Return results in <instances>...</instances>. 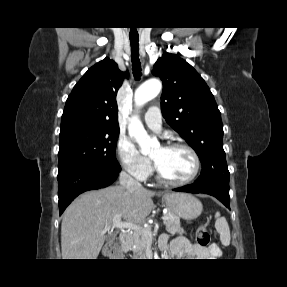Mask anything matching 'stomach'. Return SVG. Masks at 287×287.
Instances as JSON below:
<instances>
[{
  "label": "stomach",
  "mask_w": 287,
  "mask_h": 287,
  "mask_svg": "<svg viewBox=\"0 0 287 287\" xmlns=\"http://www.w3.org/2000/svg\"><path fill=\"white\" fill-rule=\"evenodd\" d=\"M163 200L171 213L185 220L196 219L203 209L202 203L187 193L166 192Z\"/></svg>",
  "instance_id": "0dacf381"
}]
</instances>
